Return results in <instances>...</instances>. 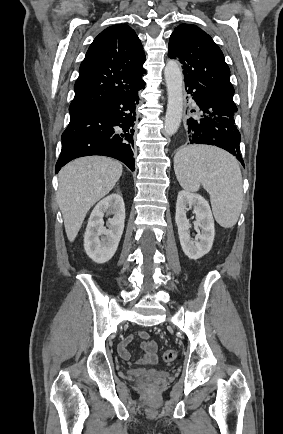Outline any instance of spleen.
I'll use <instances>...</instances> for the list:
<instances>
[{"instance_id":"1","label":"spleen","mask_w":283,"mask_h":434,"mask_svg":"<svg viewBox=\"0 0 283 434\" xmlns=\"http://www.w3.org/2000/svg\"><path fill=\"white\" fill-rule=\"evenodd\" d=\"M174 170L186 191L195 192L202 184L210 194L214 217L222 227L231 228L237 223L243 189L235 157L217 147L189 145L176 153Z\"/></svg>"}]
</instances>
